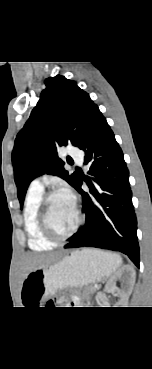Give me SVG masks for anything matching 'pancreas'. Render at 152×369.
<instances>
[{
    "mask_svg": "<svg viewBox=\"0 0 152 369\" xmlns=\"http://www.w3.org/2000/svg\"><path fill=\"white\" fill-rule=\"evenodd\" d=\"M85 292L87 294H93L95 292V289H94L93 286H89V287L86 288Z\"/></svg>",
    "mask_w": 152,
    "mask_h": 369,
    "instance_id": "cf45deb5",
    "label": "pancreas"
}]
</instances>
